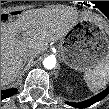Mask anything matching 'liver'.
<instances>
[{
	"label": "liver",
	"instance_id": "6515ba94",
	"mask_svg": "<svg viewBox=\"0 0 109 109\" xmlns=\"http://www.w3.org/2000/svg\"><path fill=\"white\" fill-rule=\"evenodd\" d=\"M87 15L67 8L27 10L12 23L1 28V77L8 86L19 78L22 55L34 56L46 51L48 44L62 39L67 31ZM22 35V36H21ZM26 37V38H24Z\"/></svg>",
	"mask_w": 109,
	"mask_h": 109
}]
</instances>
